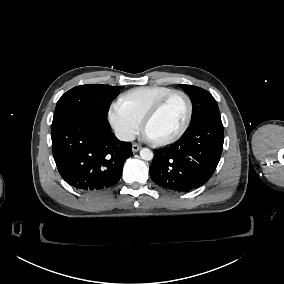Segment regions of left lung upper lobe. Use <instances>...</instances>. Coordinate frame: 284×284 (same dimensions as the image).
<instances>
[{
	"mask_svg": "<svg viewBox=\"0 0 284 284\" xmlns=\"http://www.w3.org/2000/svg\"><path fill=\"white\" fill-rule=\"evenodd\" d=\"M179 86L188 93L192 101L191 124L207 117L220 116L217 102L208 91L192 85Z\"/></svg>",
	"mask_w": 284,
	"mask_h": 284,
	"instance_id": "left-lung-upper-lobe-1",
	"label": "left lung upper lobe"
}]
</instances>
